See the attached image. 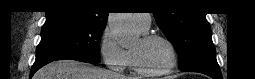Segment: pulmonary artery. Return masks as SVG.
I'll return each mask as SVG.
<instances>
[{
  "label": "pulmonary artery",
  "instance_id": "pulmonary-artery-1",
  "mask_svg": "<svg viewBox=\"0 0 255 79\" xmlns=\"http://www.w3.org/2000/svg\"><path fill=\"white\" fill-rule=\"evenodd\" d=\"M133 21L138 29L147 32L151 25L150 14H133Z\"/></svg>",
  "mask_w": 255,
  "mask_h": 79
}]
</instances>
